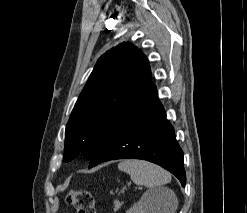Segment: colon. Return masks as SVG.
Returning <instances> with one entry per match:
<instances>
[{
    "label": "colon",
    "mask_w": 247,
    "mask_h": 213,
    "mask_svg": "<svg viewBox=\"0 0 247 213\" xmlns=\"http://www.w3.org/2000/svg\"><path fill=\"white\" fill-rule=\"evenodd\" d=\"M67 202L76 209L77 213H96L94 197L87 190L71 191Z\"/></svg>",
    "instance_id": "obj_1"
}]
</instances>
